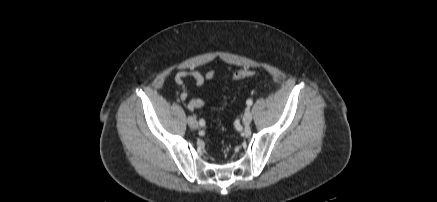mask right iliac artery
<instances>
[{"mask_svg":"<svg viewBox=\"0 0 437 202\" xmlns=\"http://www.w3.org/2000/svg\"><path fill=\"white\" fill-rule=\"evenodd\" d=\"M199 124H200L201 126H204V125H205V121H204L203 119H200V120H199Z\"/></svg>","mask_w":437,"mask_h":202,"instance_id":"82829eb1","label":"right iliac artery"}]
</instances>
